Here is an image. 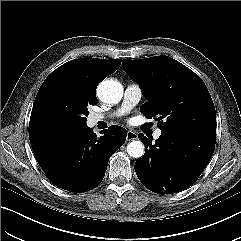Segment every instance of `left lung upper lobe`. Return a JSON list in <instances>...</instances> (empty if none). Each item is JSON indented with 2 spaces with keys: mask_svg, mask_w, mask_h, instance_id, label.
Masks as SVG:
<instances>
[{
  "mask_svg": "<svg viewBox=\"0 0 241 241\" xmlns=\"http://www.w3.org/2000/svg\"><path fill=\"white\" fill-rule=\"evenodd\" d=\"M148 100L140 107L147 118L157 117L161 130L172 129L216 138V113L204 82L182 63L168 57L124 60Z\"/></svg>",
  "mask_w": 241,
  "mask_h": 241,
  "instance_id": "obj_1",
  "label": "left lung upper lobe"
}]
</instances>
